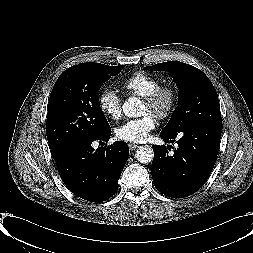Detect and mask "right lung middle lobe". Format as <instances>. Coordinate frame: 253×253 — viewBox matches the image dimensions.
<instances>
[{
    "mask_svg": "<svg viewBox=\"0 0 253 253\" xmlns=\"http://www.w3.org/2000/svg\"><path fill=\"white\" fill-rule=\"evenodd\" d=\"M122 68L89 62L70 67L59 76L50 95L46 122L53 157L76 140L98 136L110 127L98 92Z\"/></svg>",
    "mask_w": 253,
    "mask_h": 253,
    "instance_id": "dd1d6c3e",
    "label": "right lung middle lobe"
}]
</instances>
